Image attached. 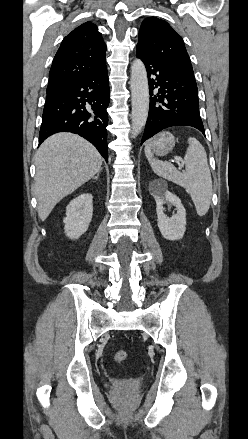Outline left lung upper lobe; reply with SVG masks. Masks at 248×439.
<instances>
[{
	"label": "left lung upper lobe",
	"instance_id": "1",
	"mask_svg": "<svg viewBox=\"0 0 248 439\" xmlns=\"http://www.w3.org/2000/svg\"><path fill=\"white\" fill-rule=\"evenodd\" d=\"M148 56L194 75L182 38L158 18H146L139 30L137 47Z\"/></svg>",
	"mask_w": 248,
	"mask_h": 439
}]
</instances>
